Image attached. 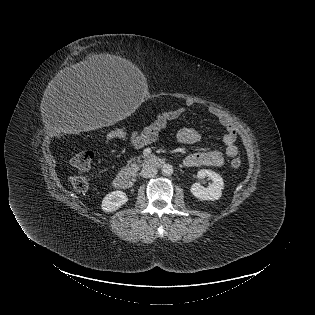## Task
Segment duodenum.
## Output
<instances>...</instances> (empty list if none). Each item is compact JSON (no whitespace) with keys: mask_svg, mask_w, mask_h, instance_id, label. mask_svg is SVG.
I'll return each instance as SVG.
<instances>
[{"mask_svg":"<svg viewBox=\"0 0 315 315\" xmlns=\"http://www.w3.org/2000/svg\"><path fill=\"white\" fill-rule=\"evenodd\" d=\"M146 162L158 167L165 165V160L156 155H150L146 158ZM136 179V174L133 170L124 169L118 173L114 180V185L118 189H126L133 185Z\"/></svg>","mask_w":315,"mask_h":315,"instance_id":"duodenum-1","label":"duodenum"}]
</instances>
